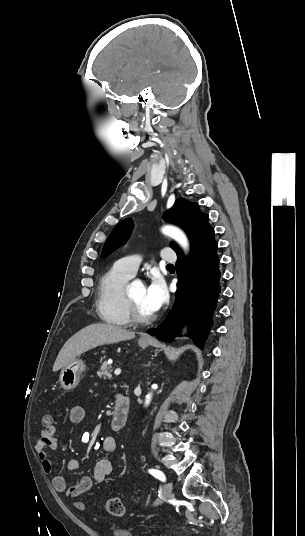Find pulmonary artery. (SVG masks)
<instances>
[{"mask_svg":"<svg viewBox=\"0 0 305 536\" xmlns=\"http://www.w3.org/2000/svg\"><path fill=\"white\" fill-rule=\"evenodd\" d=\"M163 253L164 254L161 256V261L163 263L173 264L176 262L177 257L175 254H173L174 250L170 245H165L163 247ZM140 263H141L140 258L134 257V256H128V257L118 260L115 266L120 271L128 275L129 277H133L136 274Z\"/></svg>","mask_w":305,"mask_h":536,"instance_id":"e3ab8cb5","label":"pulmonary artery"}]
</instances>
